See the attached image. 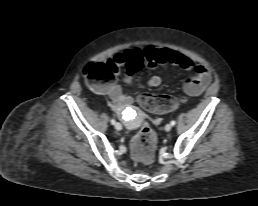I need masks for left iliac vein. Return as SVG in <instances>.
Here are the masks:
<instances>
[{
	"label": "left iliac vein",
	"mask_w": 258,
	"mask_h": 206,
	"mask_svg": "<svg viewBox=\"0 0 258 206\" xmlns=\"http://www.w3.org/2000/svg\"><path fill=\"white\" fill-rule=\"evenodd\" d=\"M171 129H172V125H171V124H167V125L165 126V130H166L167 132H169Z\"/></svg>",
	"instance_id": "4c4485c4"
}]
</instances>
